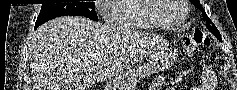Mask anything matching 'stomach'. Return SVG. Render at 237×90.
<instances>
[{"label":"stomach","mask_w":237,"mask_h":90,"mask_svg":"<svg viewBox=\"0 0 237 90\" xmlns=\"http://www.w3.org/2000/svg\"><path fill=\"white\" fill-rule=\"evenodd\" d=\"M172 53L154 56L147 64L125 70L110 82L106 90H133L137 81L158 71H163L174 63Z\"/></svg>","instance_id":"obj_1"}]
</instances>
